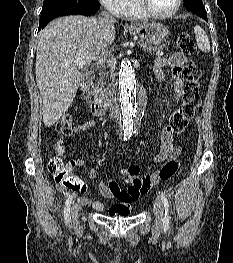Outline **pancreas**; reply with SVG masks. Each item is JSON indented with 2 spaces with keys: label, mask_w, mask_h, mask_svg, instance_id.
<instances>
[{
  "label": "pancreas",
  "mask_w": 233,
  "mask_h": 263,
  "mask_svg": "<svg viewBox=\"0 0 233 263\" xmlns=\"http://www.w3.org/2000/svg\"><path fill=\"white\" fill-rule=\"evenodd\" d=\"M138 44L141 47L147 49L149 52H151V51H161L163 49V47H164V45L153 47L151 45H147L143 41L138 42ZM106 75H107V73L104 70H100V78L92 86L93 95L97 99H104V97H105V94H106V89H105Z\"/></svg>",
  "instance_id": "pancreas-1"
}]
</instances>
